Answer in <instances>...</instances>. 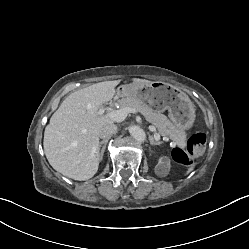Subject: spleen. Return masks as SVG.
<instances>
[{"label": "spleen", "instance_id": "1", "mask_svg": "<svg viewBox=\"0 0 249 249\" xmlns=\"http://www.w3.org/2000/svg\"><path fill=\"white\" fill-rule=\"evenodd\" d=\"M193 167H194V166H191V167L188 169L187 173L191 172V171L193 170Z\"/></svg>", "mask_w": 249, "mask_h": 249}]
</instances>
